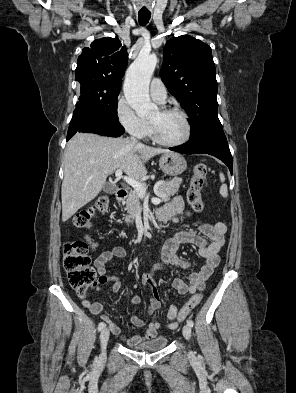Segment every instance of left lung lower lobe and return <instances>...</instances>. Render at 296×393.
<instances>
[{"instance_id":"obj_1","label":"left lung lower lobe","mask_w":296,"mask_h":393,"mask_svg":"<svg viewBox=\"0 0 296 393\" xmlns=\"http://www.w3.org/2000/svg\"><path fill=\"white\" fill-rule=\"evenodd\" d=\"M169 149L187 154H210L223 161L232 173V156L223 129L212 131L194 141Z\"/></svg>"}]
</instances>
